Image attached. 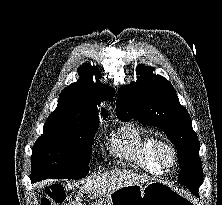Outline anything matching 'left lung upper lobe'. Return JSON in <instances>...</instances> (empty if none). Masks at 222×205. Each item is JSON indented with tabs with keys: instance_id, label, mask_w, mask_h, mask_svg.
<instances>
[{
	"instance_id": "obj_1",
	"label": "left lung upper lobe",
	"mask_w": 222,
	"mask_h": 205,
	"mask_svg": "<svg viewBox=\"0 0 222 205\" xmlns=\"http://www.w3.org/2000/svg\"><path fill=\"white\" fill-rule=\"evenodd\" d=\"M153 70L152 67H139L142 75L137 81L119 89L117 116L123 121L134 118L164 131L177 148L179 164L187 161L193 164L192 168H181L179 182L185 186L192 184L199 189L203 181L200 144L191 118L180 104L170 82L163 76L152 75Z\"/></svg>"
}]
</instances>
